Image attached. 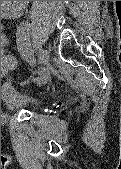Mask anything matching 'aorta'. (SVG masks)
I'll return each mask as SVG.
<instances>
[{
    "mask_svg": "<svg viewBox=\"0 0 121 169\" xmlns=\"http://www.w3.org/2000/svg\"><path fill=\"white\" fill-rule=\"evenodd\" d=\"M1 2H2L1 6L5 7L8 6L12 8L8 10H11L12 12H17L25 8L29 1H1Z\"/></svg>",
    "mask_w": 121,
    "mask_h": 169,
    "instance_id": "762f6f07",
    "label": "aorta"
}]
</instances>
